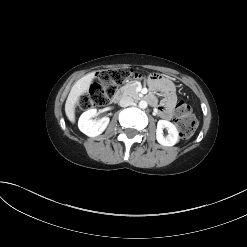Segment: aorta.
<instances>
[{
    "label": "aorta",
    "mask_w": 247,
    "mask_h": 247,
    "mask_svg": "<svg viewBox=\"0 0 247 247\" xmlns=\"http://www.w3.org/2000/svg\"><path fill=\"white\" fill-rule=\"evenodd\" d=\"M147 106H148V104H147V102H146L145 100H141V101L139 102V107H140L141 109H146Z\"/></svg>",
    "instance_id": "aorta-1"
}]
</instances>
